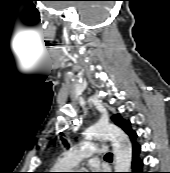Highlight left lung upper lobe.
Returning <instances> with one entry per match:
<instances>
[{
	"label": "left lung upper lobe",
	"mask_w": 170,
	"mask_h": 173,
	"mask_svg": "<svg viewBox=\"0 0 170 173\" xmlns=\"http://www.w3.org/2000/svg\"><path fill=\"white\" fill-rule=\"evenodd\" d=\"M112 120L116 125L121 127L130 137L132 144L136 143L135 140L137 138L136 132L133 131L130 127V121L124 120L120 117L119 114L115 115Z\"/></svg>",
	"instance_id": "1"
}]
</instances>
